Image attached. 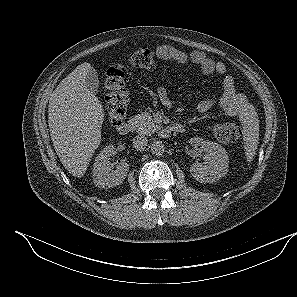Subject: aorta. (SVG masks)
I'll list each match as a JSON object with an SVG mask.
<instances>
[{
    "instance_id": "762f6f07",
    "label": "aorta",
    "mask_w": 297,
    "mask_h": 297,
    "mask_svg": "<svg viewBox=\"0 0 297 297\" xmlns=\"http://www.w3.org/2000/svg\"><path fill=\"white\" fill-rule=\"evenodd\" d=\"M151 153L160 156L164 153L165 147L162 141H154L150 146Z\"/></svg>"
}]
</instances>
